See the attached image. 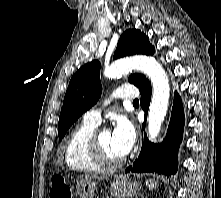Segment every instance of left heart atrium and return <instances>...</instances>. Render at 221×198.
I'll return each instance as SVG.
<instances>
[{"label":"left heart atrium","mask_w":221,"mask_h":198,"mask_svg":"<svg viewBox=\"0 0 221 198\" xmlns=\"http://www.w3.org/2000/svg\"><path fill=\"white\" fill-rule=\"evenodd\" d=\"M136 139L133 125L126 119H118L112 132L111 142L114 149L123 157L132 149Z\"/></svg>","instance_id":"1"}]
</instances>
